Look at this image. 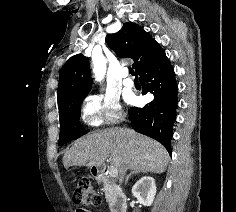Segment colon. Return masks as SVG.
Listing matches in <instances>:
<instances>
[{"instance_id":"colon-1","label":"colon","mask_w":236,"mask_h":212,"mask_svg":"<svg viewBox=\"0 0 236 212\" xmlns=\"http://www.w3.org/2000/svg\"><path fill=\"white\" fill-rule=\"evenodd\" d=\"M73 199L76 203L83 206L97 205L100 202L90 181L86 178H78L73 192Z\"/></svg>"}]
</instances>
